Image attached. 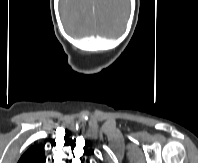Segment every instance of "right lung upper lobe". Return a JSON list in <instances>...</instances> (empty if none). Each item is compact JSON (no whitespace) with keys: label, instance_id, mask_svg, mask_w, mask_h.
<instances>
[{"label":"right lung upper lobe","instance_id":"right-lung-upper-lobe-1","mask_svg":"<svg viewBox=\"0 0 198 163\" xmlns=\"http://www.w3.org/2000/svg\"><path fill=\"white\" fill-rule=\"evenodd\" d=\"M44 149L39 145L31 146L19 159L18 163H45Z\"/></svg>","mask_w":198,"mask_h":163}]
</instances>
